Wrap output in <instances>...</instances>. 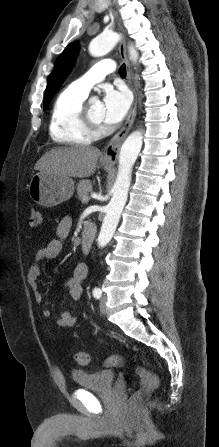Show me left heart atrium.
<instances>
[{
  "label": "left heart atrium",
  "instance_id": "obj_1",
  "mask_svg": "<svg viewBox=\"0 0 219 447\" xmlns=\"http://www.w3.org/2000/svg\"><path fill=\"white\" fill-rule=\"evenodd\" d=\"M131 105L129 93L124 89H107L103 99V120L107 124L120 122Z\"/></svg>",
  "mask_w": 219,
  "mask_h": 447
}]
</instances>
